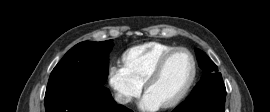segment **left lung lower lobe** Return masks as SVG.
I'll return each instance as SVG.
<instances>
[{
    "label": "left lung lower lobe",
    "mask_w": 270,
    "mask_h": 112,
    "mask_svg": "<svg viewBox=\"0 0 270 112\" xmlns=\"http://www.w3.org/2000/svg\"><path fill=\"white\" fill-rule=\"evenodd\" d=\"M226 88L215 83L198 96L186 99L172 112H225Z\"/></svg>",
    "instance_id": "obj_1"
}]
</instances>
